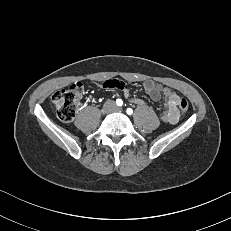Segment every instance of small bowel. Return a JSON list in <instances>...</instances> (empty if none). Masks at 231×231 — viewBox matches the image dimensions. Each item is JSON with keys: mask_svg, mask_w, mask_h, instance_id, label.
Listing matches in <instances>:
<instances>
[{"mask_svg": "<svg viewBox=\"0 0 231 231\" xmlns=\"http://www.w3.org/2000/svg\"><path fill=\"white\" fill-rule=\"evenodd\" d=\"M103 86L105 88L109 89H117L124 93L126 99L133 104H137L140 106H146L147 103L139 98L131 97L129 95V91L127 86L115 79H110L104 82ZM143 87L147 95L153 100V101H159L162 97L165 99V109L160 113V119L163 122L169 123V124H176L179 120V101L180 96L172 91L168 87H162L161 85L155 83L152 80H146L143 83Z\"/></svg>", "mask_w": 231, "mask_h": 231, "instance_id": "obj_1", "label": "small bowel"}]
</instances>
